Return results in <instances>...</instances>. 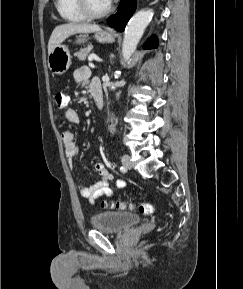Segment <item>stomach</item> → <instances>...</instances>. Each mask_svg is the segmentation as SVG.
Wrapping results in <instances>:
<instances>
[{
  "label": "stomach",
  "mask_w": 243,
  "mask_h": 289,
  "mask_svg": "<svg viewBox=\"0 0 243 289\" xmlns=\"http://www.w3.org/2000/svg\"><path fill=\"white\" fill-rule=\"evenodd\" d=\"M99 42L112 43L115 41L114 35L106 31H99L94 36ZM87 35H80L77 43L86 41ZM71 65V55L66 45L60 44L48 56V68L53 74L61 75L65 73Z\"/></svg>",
  "instance_id": "1"
}]
</instances>
